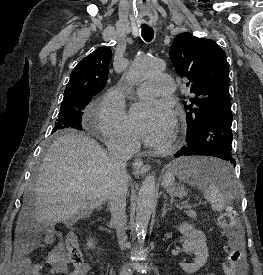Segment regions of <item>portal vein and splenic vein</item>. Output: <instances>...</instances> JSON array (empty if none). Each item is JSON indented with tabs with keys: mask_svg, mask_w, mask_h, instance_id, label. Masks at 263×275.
Listing matches in <instances>:
<instances>
[{
	"mask_svg": "<svg viewBox=\"0 0 263 275\" xmlns=\"http://www.w3.org/2000/svg\"><path fill=\"white\" fill-rule=\"evenodd\" d=\"M184 208H188L189 209V208H191V206L190 205H185Z\"/></svg>",
	"mask_w": 263,
	"mask_h": 275,
	"instance_id": "obj_1",
	"label": "portal vein and splenic vein"
}]
</instances>
